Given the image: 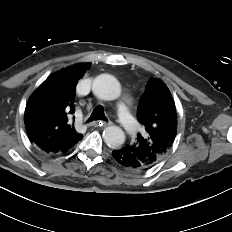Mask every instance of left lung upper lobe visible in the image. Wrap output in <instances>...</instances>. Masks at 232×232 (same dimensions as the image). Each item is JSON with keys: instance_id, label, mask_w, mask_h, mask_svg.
Returning <instances> with one entry per match:
<instances>
[{"instance_id": "1", "label": "left lung upper lobe", "mask_w": 232, "mask_h": 232, "mask_svg": "<svg viewBox=\"0 0 232 232\" xmlns=\"http://www.w3.org/2000/svg\"><path fill=\"white\" fill-rule=\"evenodd\" d=\"M143 125L136 142L128 145L134 156L148 169L161 161L177 133V111L167 86L158 78L149 81L137 109Z\"/></svg>"}]
</instances>
